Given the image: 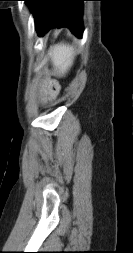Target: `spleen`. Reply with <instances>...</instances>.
<instances>
[{
	"mask_svg": "<svg viewBox=\"0 0 133 253\" xmlns=\"http://www.w3.org/2000/svg\"><path fill=\"white\" fill-rule=\"evenodd\" d=\"M51 51L53 66L56 70L59 69L60 73L64 74L72 65V47L60 43L52 47Z\"/></svg>",
	"mask_w": 133,
	"mask_h": 253,
	"instance_id": "spleen-1",
	"label": "spleen"
}]
</instances>
